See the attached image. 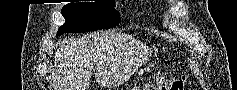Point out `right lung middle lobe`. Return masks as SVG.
<instances>
[{
    "instance_id": "dd1d6c3e",
    "label": "right lung middle lobe",
    "mask_w": 237,
    "mask_h": 90,
    "mask_svg": "<svg viewBox=\"0 0 237 90\" xmlns=\"http://www.w3.org/2000/svg\"><path fill=\"white\" fill-rule=\"evenodd\" d=\"M114 6V0L68 3L61 10L66 22L59 28L57 36L116 26L120 21V15Z\"/></svg>"
}]
</instances>
